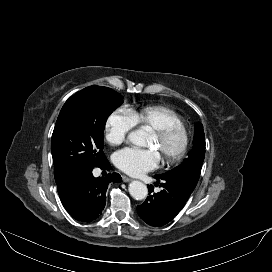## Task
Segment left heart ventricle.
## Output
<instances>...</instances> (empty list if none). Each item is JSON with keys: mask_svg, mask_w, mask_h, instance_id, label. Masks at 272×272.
<instances>
[{"mask_svg": "<svg viewBox=\"0 0 272 272\" xmlns=\"http://www.w3.org/2000/svg\"><path fill=\"white\" fill-rule=\"evenodd\" d=\"M180 143V137L175 136L169 142H161L154 134H152L148 146L152 148H156L160 154L165 155L173 152Z\"/></svg>", "mask_w": 272, "mask_h": 272, "instance_id": "1", "label": "left heart ventricle"}]
</instances>
